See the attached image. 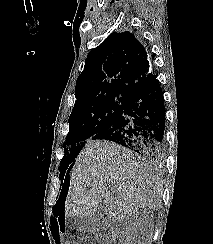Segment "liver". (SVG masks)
I'll return each instance as SVG.
<instances>
[{"label": "liver", "mask_w": 213, "mask_h": 244, "mask_svg": "<svg viewBox=\"0 0 213 244\" xmlns=\"http://www.w3.org/2000/svg\"><path fill=\"white\" fill-rule=\"evenodd\" d=\"M163 186L149 163L120 145L90 141L76 159L65 201V216L86 217L102 205L114 221L142 207L157 210Z\"/></svg>", "instance_id": "obj_1"}]
</instances>
